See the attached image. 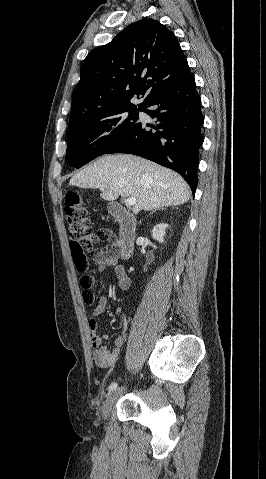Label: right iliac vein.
I'll use <instances>...</instances> for the list:
<instances>
[{
    "instance_id": "1",
    "label": "right iliac vein",
    "mask_w": 266,
    "mask_h": 479,
    "mask_svg": "<svg viewBox=\"0 0 266 479\" xmlns=\"http://www.w3.org/2000/svg\"><path fill=\"white\" fill-rule=\"evenodd\" d=\"M122 389H116V390H113L107 397L105 403H104V406H103V410H102V415L103 417L106 419L110 413V410L113 406V404L116 402V400L118 399L120 393H121Z\"/></svg>"
}]
</instances>
